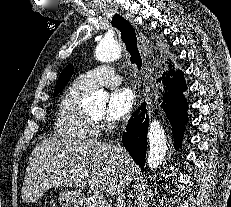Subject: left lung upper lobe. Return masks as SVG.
Instances as JSON below:
<instances>
[{"mask_svg":"<svg viewBox=\"0 0 231 207\" xmlns=\"http://www.w3.org/2000/svg\"><path fill=\"white\" fill-rule=\"evenodd\" d=\"M74 72V68L72 65H68L60 74L58 81L56 83V87L54 89L53 96L55 97L61 90L66 86L67 82L70 80L72 73Z\"/></svg>","mask_w":231,"mask_h":207,"instance_id":"1","label":"left lung upper lobe"}]
</instances>
